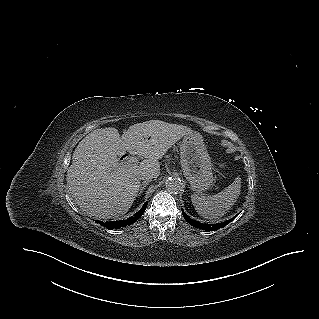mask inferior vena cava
Returning <instances> with one entry per match:
<instances>
[{
    "instance_id": "obj_1",
    "label": "inferior vena cava",
    "mask_w": 319,
    "mask_h": 319,
    "mask_svg": "<svg viewBox=\"0 0 319 319\" xmlns=\"http://www.w3.org/2000/svg\"><path fill=\"white\" fill-rule=\"evenodd\" d=\"M138 178L141 180H150L155 178V173L152 171H142L138 174Z\"/></svg>"
}]
</instances>
